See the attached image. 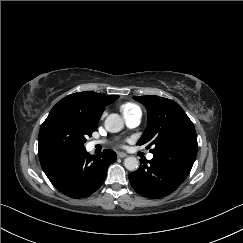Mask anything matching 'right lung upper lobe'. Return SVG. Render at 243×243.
<instances>
[{"instance_id": "right-lung-upper-lobe-1", "label": "right lung upper lobe", "mask_w": 243, "mask_h": 243, "mask_svg": "<svg viewBox=\"0 0 243 243\" xmlns=\"http://www.w3.org/2000/svg\"><path fill=\"white\" fill-rule=\"evenodd\" d=\"M118 97L94 92H78L66 96L56 105L75 112L94 124H98L104 106L113 103Z\"/></svg>"}]
</instances>
